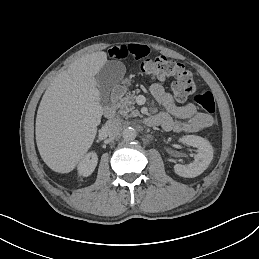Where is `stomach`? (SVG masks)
<instances>
[{
  "label": "stomach",
  "instance_id": "0dacf381",
  "mask_svg": "<svg viewBox=\"0 0 259 259\" xmlns=\"http://www.w3.org/2000/svg\"><path fill=\"white\" fill-rule=\"evenodd\" d=\"M122 84L125 86H129L131 84V79L130 78H124L122 80Z\"/></svg>",
  "mask_w": 259,
  "mask_h": 259
}]
</instances>
